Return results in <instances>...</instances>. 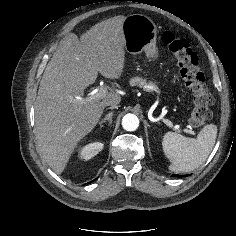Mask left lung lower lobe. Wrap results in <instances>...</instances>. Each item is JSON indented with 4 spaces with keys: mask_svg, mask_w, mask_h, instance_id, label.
Here are the masks:
<instances>
[{
    "mask_svg": "<svg viewBox=\"0 0 236 236\" xmlns=\"http://www.w3.org/2000/svg\"><path fill=\"white\" fill-rule=\"evenodd\" d=\"M173 176H178V175H175V174H174ZM186 176H187V175H186ZM179 177H183V175H181V176H179Z\"/></svg>",
    "mask_w": 236,
    "mask_h": 236,
    "instance_id": "obj_1",
    "label": "left lung lower lobe"
}]
</instances>
